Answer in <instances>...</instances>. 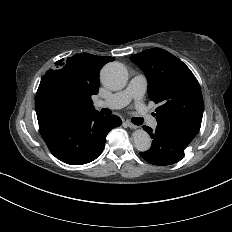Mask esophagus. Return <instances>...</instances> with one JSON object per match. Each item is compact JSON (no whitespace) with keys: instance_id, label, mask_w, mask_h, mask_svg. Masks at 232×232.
Segmentation results:
<instances>
[{"instance_id":"1","label":"esophagus","mask_w":232,"mask_h":232,"mask_svg":"<svg viewBox=\"0 0 232 232\" xmlns=\"http://www.w3.org/2000/svg\"><path fill=\"white\" fill-rule=\"evenodd\" d=\"M126 123V125L129 127V128H131V129H136V128H138L136 125H134V124H132L130 121H126L125 122Z\"/></svg>"}]
</instances>
